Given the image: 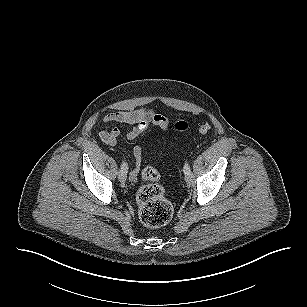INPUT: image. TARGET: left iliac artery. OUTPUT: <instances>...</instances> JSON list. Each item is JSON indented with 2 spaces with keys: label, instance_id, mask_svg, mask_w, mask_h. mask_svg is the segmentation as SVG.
I'll use <instances>...</instances> for the list:
<instances>
[{
  "label": "left iliac artery",
  "instance_id": "obj_1",
  "mask_svg": "<svg viewBox=\"0 0 307 307\" xmlns=\"http://www.w3.org/2000/svg\"><path fill=\"white\" fill-rule=\"evenodd\" d=\"M183 171H184L185 174L188 173V171H190V166L187 162L184 165Z\"/></svg>",
  "mask_w": 307,
  "mask_h": 307
}]
</instances>
